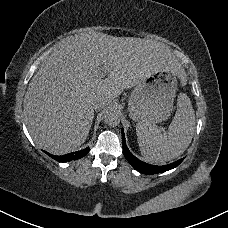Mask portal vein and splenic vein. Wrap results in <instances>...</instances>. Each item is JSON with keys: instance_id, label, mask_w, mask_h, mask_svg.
<instances>
[{"instance_id": "portal-vein-and-splenic-vein-1", "label": "portal vein and splenic vein", "mask_w": 228, "mask_h": 228, "mask_svg": "<svg viewBox=\"0 0 228 228\" xmlns=\"http://www.w3.org/2000/svg\"><path fill=\"white\" fill-rule=\"evenodd\" d=\"M102 74H103V75H104V74H105V75L107 74L106 68H103V69H102Z\"/></svg>"}]
</instances>
